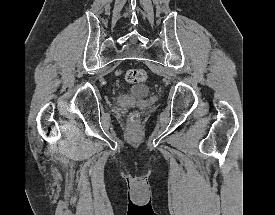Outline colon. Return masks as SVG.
I'll return each mask as SVG.
<instances>
[{"instance_id":"1","label":"colon","mask_w":275,"mask_h":215,"mask_svg":"<svg viewBox=\"0 0 275 215\" xmlns=\"http://www.w3.org/2000/svg\"><path fill=\"white\" fill-rule=\"evenodd\" d=\"M122 76L126 82L131 84L145 82L148 79L147 71L140 68H133L122 71ZM129 118L132 122H137L139 119L138 111L136 109H131Z\"/></svg>"}]
</instances>
